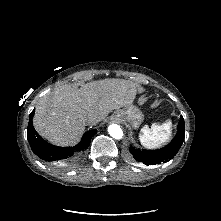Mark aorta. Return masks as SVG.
<instances>
[{"instance_id":"1","label":"aorta","mask_w":221,"mask_h":221,"mask_svg":"<svg viewBox=\"0 0 221 221\" xmlns=\"http://www.w3.org/2000/svg\"><path fill=\"white\" fill-rule=\"evenodd\" d=\"M108 132L114 139H121L123 137V131L117 124H111L108 127Z\"/></svg>"}]
</instances>
